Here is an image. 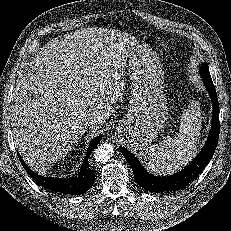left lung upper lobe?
Wrapping results in <instances>:
<instances>
[{
	"mask_svg": "<svg viewBox=\"0 0 231 231\" xmlns=\"http://www.w3.org/2000/svg\"><path fill=\"white\" fill-rule=\"evenodd\" d=\"M199 73H200V75H201L203 78H209V79H211V76H210V73H209V70H208V65H207V63H203V64H202V67H201V69L199 70Z\"/></svg>",
	"mask_w": 231,
	"mask_h": 231,
	"instance_id": "5c2ea615",
	"label": "left lung upper lobe"
}]
</instances>
